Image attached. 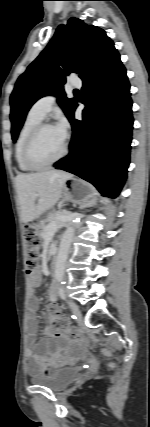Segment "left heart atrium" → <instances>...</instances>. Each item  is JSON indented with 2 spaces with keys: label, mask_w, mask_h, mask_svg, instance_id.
Instances as JSON below:
<instances>
[{
  "label": "left heart atrium",
  "mask_w": 150,
  "mask_h": 427,
  "mask_svg": "<svg viewBox=\"0 0 150 427\" xmlns=\"http://www.w3.org/2000/svg\"><path fill=\"white\" fill-rule=\"evenodd\" d=\"M57 128L61 131V133L63 134V136L65 138H67V136H68V128H69L67 120L66 119H62L60 121V123L58 124Z\"/></svg>",
  "instance_id": "left-heart-atrium-1"
}]
</instances>
